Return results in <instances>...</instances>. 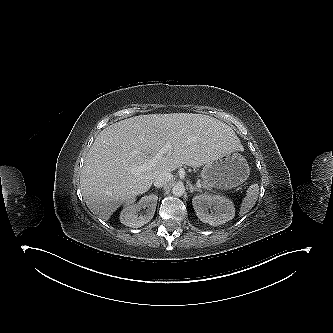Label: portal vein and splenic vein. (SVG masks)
Masks as SVG:
<instances>
[{"mask_svg":"<svg viewBox=\"0 0 333 333\" xmlns=\"http://www.w3.org/2000/svg\"><path fill=\"white\" fill-rule=\"evenodd\" d=\"M170 151H171V145H170V143H166V145L163 148L160 149L159 153L156 155L155 158L151 159L147 164H144V165L139 166L137 168H133L132 172L133 173H138L140 171L148 169L149 167L154 165V163L156 162L157 159L161 158L163 155H166ZM197 186L199 188H201L200 183H197Z\"/></svg>","mask_w":333,"mask_h":333,"instance_id":"obj_1","label":"portal vein and splenic vein"}]
</instances>
